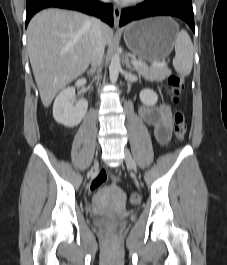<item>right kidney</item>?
<instances>
[{"label": "right kidney", "mask_w": 227, "mask_h": 265, "mask_svg": "<svg viewBox=\"0 0 227 265\" xmlns=\"http://www.w3.org/2000/svg\"><path fill=\"white\" fill-rule=\"evenodd\" d=\"M86 79H79L75 87L84 86ZM75 87H67L63 89L56 97L53 104V117L59 124L65 127H75L85 117L88 102L86 100H80L76 106L73 105L72 99L75 96Z\"/></svg>", "instance_id": "1"}]
</instances>
